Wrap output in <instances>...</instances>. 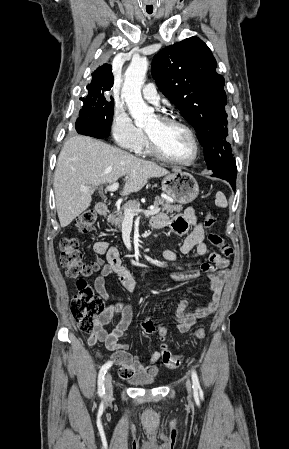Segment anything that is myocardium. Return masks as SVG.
I'll list each match as a JSON object with an SVG mask.
<instances>
[{"label": "myocardium", "mask_w": 289, "mask_h": 449, "mask_svg": "<svg viewBox=\"0 0 289 449\" xmlns=\"http://www.w3.org/2000/svg\"><path fill=\"white\" fill-rule=\"evenodd\" d=\"M157 118L159 119V121L161 123L173 124V125H177V126L183 128L188 133L189 137L191 138V141L194 146V154H193L192 158H190L189 160L173 159V158L167 156L160 149V147L158 146L155 139L147 131H145L147 146H148L150 153L162 161L176 164V165L190 166V165L194 164L198 160L199 155H200V144H199L198 138H197L194 130L187 123L182 121L181 119L171 116V115L162 114V115H159Z\"/></svg>", "instance_id": "1"}]
</instances>
